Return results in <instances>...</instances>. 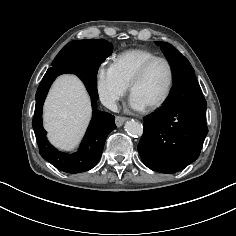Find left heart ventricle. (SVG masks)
<instances>
[{"mask_svg": "<svg viewBox=\"0 0 236 236\" xmlns=\"http://www.w3.org/2000/svg\"><path fill=\"white\" fill-rule=\"evenodd\" d=\"M169 82V70L164 62L155 63L144 79L136 86L133 95L145 106L159 100L166 91Z\"/></svg>", "mask_w": 236, "mask_h": 236, "instance_id": "left-heart-ventricle-1", "label": "left heart ventricle"}]
</instances>
